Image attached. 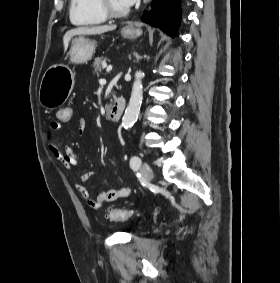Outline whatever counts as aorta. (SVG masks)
<instances>
[{"instance_id":"aorta-1","label":"aorta","mask_w":280,"mask_h":283,"mask_svg":"<svg viewBox=\"0 0 280 283\" xmlns=\"http://www.w3.org/2000/svg\"><path fill=\"white\" fill-rule=\"evenodd\" d=\"M142 77L143 73L141 71H137L135 73V80L132 87L129 105L122 118V126L126 129L131 127L137 121L139 115L143 96Z\"/></svg>"}]
</instances>
